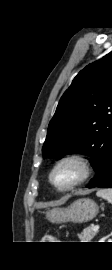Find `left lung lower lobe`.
<instances>
[{
	"label": "left lung lower lobe",
	"instance_id": "0a47b994",
	"mask_svg": "<svg viewBox=\"0 0 112 270\" xmlns=\"http://www.w3.org/2000/svg\"><path fill=\"white\" fill-rule=\"evenodd\" d=\"M87 187L112 188V149L101 167L99 174Z\"/></svg>",
	"mask_w": 112,
	"mask_h": 270
}]
</instances>
